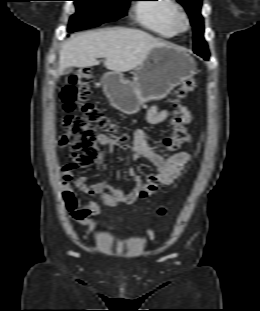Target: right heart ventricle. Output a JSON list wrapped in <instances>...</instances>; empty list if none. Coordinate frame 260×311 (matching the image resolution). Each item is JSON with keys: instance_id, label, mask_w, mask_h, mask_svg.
Masks as SVG:
<instances>
[{"instance_id": "1", "label": "right heart ventricle", "mask_w": 260, "mask_h": 311, "mask_svg": "<svg viewBox=\"0 0 260 311\" xmlns=\"http://www.w3.org/2000/svg\"><path fill=\"white\" fill-rule=\"evenodd\" d=\"M155 3H140L135 7L138 23L153 33L171 38L176 32L171 25V16L177 3L174 0H144Z\"/></svg>"}]
</instances>
